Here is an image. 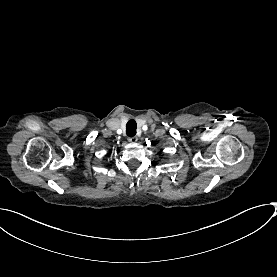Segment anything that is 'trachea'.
Returning a JSON list of instances; mask_svg holds the SVG:
<instances>
[{
	"label": "trachea",
	"instance_id": "1",
	"mask_svg": "<svg viewBox=\"0 0 277 277\" xmlns=\"http://www.w3.org/2000/svg\"><path fill=\"white\" fill-rule=\"evenodd\" d=\"M137 124L135 120H129L126 124V134L129 137L136 135Z\"/></svg>",
	"mask_w": 277,
	"mask_h": 277
}]
</instances>
